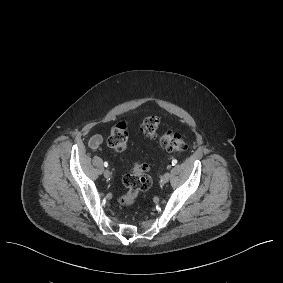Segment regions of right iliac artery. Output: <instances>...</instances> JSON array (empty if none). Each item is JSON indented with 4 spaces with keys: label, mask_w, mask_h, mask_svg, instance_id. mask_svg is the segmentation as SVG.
<instances>
[{
    "label": "right iliac artery",
    "mask_w": 283,
    "mask_h": 283,
    "mask_svg": "<svg viewBox=\"0 0 283 283\" xmlns=\"http://www.w3.org/2000/svg\"><path fill=\"white\" fill-rule=\"evenodd\" d=\"M104 166L107 167V166H108V163H107V162H104Z\"/></svg>",
    "instance_id": "right-iliac-artery-1"
}]
</instances>
